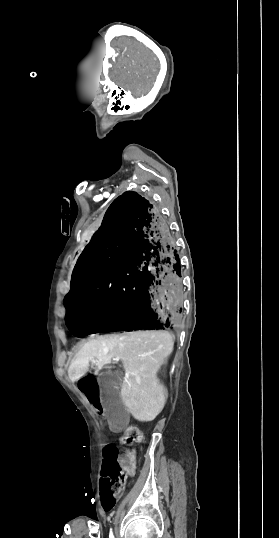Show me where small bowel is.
Returning <instances> with one entry per match:
<instances>
[{"instance_id": "c3829d8e", "label": "small bowel", "mask_w": 279, "mask_h": 538, "mask_svg": "<svg viewBox=\"0 0 279 538\" xmlns=\"http://www.w3.org/2000/svg\"><path fill=\"white\" fill-rule=\"evenodd\" d=\"M119 462L129 475H133L137 463L136 452L134 450H127L119 459Z\"/></svg>"}]
</instances>
